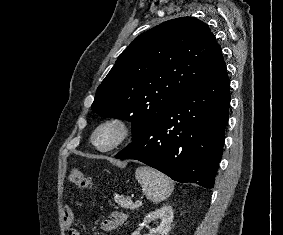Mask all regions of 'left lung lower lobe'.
<instances>
[{
    "label": "left lung lower lobe",
    "instance_id": "obj_1",
    "mask_svg": "<svg viewBox=\"0 0 283 235\" xmlns=\"http://www.w3.org/2000/svg\"><path fill=\"white\" fill-rule=\"evenodd\" d=\"M225 64L185 91L115 158L136 159L178 182L213 188L229 118Z\"/></svg>",
    "mask_w": 283,
    "mask_h": 235
}]
</instances>
